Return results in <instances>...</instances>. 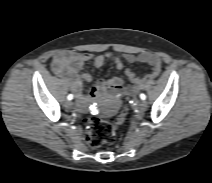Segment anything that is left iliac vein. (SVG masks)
Segmentation results:
<instances>
[{
	"instance_id": "4c4485c4",
	"label": "left iliac vein",
	"mask_w": 212,
	"mask_h": 183,
	"mask_svg": "<svg viewBox=\"0 0 212 183\" xmlns=\"http://www.w3.org/2000/svg\"><path fill=\"white\" fill-rule=\"evenodd\" d=\"M147 106H148V103L145 100L141 101L139 104V108L143 111L146 110Z\"/></svg>"
}]
</instances>
